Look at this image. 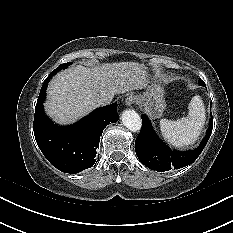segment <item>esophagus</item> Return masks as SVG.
Masks as SVG:
<instances>
[{"label": "esophagus", "instance_id": "esophagus-1", "mask_svg": "<svg viewBox=\"0 0 233 233\" xmlns=\"http://www.w3.org/2000/svg\"><path fill=\"white\" fill-rule=\"evenodd\" d=\"M134 102H135V99L132 96H129L125 99V103L127 106H132L134 104Z\"/></svg>", "mask_w": 233, "mask_h": 233}]
</instances>
